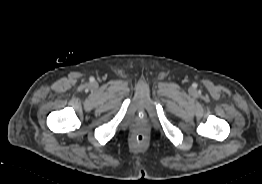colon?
I'll list each match as a JSON object with an SVG mask.
<instances>
[{
	"label": "colon",
	"mask_w": 262,
	"mask_h": 184,
	"mask_svg": "<svg viewBox=\"0 0 262 184\" xmlns=\"http://www.w3.org/2000/svg\"><path fill=\"white\" fill-rule=\"evenodd\" d=\"M135 138H136L137 141L143 142L144 139H145V136L142 133H138V134H136Z\"/></svg>",
	"instance_id": "1"
}]
</instances>
